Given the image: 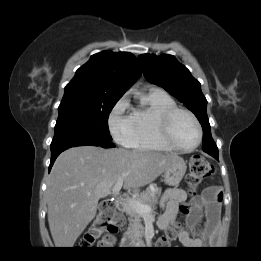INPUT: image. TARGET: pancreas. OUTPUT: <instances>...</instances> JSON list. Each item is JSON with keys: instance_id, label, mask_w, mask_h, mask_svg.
Instances as JSON below:
<instances>
[{"instance_id": "pancreas-1", "label": "pancreas", "mask_w": 261, "mask_h": 261, "mask_svg": "<svg viewBox=\"0 0 261 261\" xmlns=\"http://www.w3.org/2000/svg\"><path fill=\"white\" fill-rule=\"evenodd\" d=\"M160 194L161 188L157 187L156 184H152L141 194L130 200L149 205L151 209H154ZM123 212L126 213L129 220L127 231L124 233L125 239L133 245L141 243L144 235V227L141 223L142 214L138 213L128 201L123 204Z\"/></svg>"}]
</instances>
